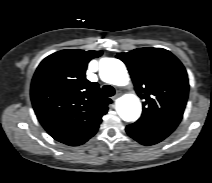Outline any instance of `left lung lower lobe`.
<instances>
[{
	"mask_svg": "<svg viewBox=\"0 0 212 183\" xmlns=\"http://www.w3.org/2000/svg\"><path fill=\"white\" fill-rule=\"evenodd\" d=\"M126 132L130 137L143 145H153L165 139L171 132L133 123L126 127Z\"/></svg>",
	"mask_w": 212,
	"mask_h": 183,
	"instance_id": "1",
	"label": "left lung lower lobe"
}]
</instances>
